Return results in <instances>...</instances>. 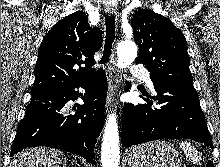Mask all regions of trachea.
Wrapping results in <instances>:
<instances>
[{"label": "trachea", "instance_id": "1", "mask_svg": "<svg viewBox=\"0 0 220 167\" xmlns=\"http://www.w3.org/2000/svg\"><path fill=\"white\" fill-rule=\"evenodd\" d=\"M105 25H106V39L104 44L103 57L100 61L101 64H105L110 60L112 53V44L115 39V16L105 15Z\"/></svg>", "mask_w": 220, "mask_h": 167}]
</instances>
